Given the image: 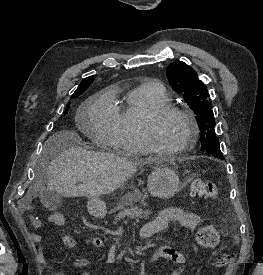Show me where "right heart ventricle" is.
Masks as SVG:
<instances>
[{"label": "right heart ventricle", "mask_w": 263, "mask_h": 275, "mask_svg": "<svg viewBox=\"0 0 263 275\" xmlns=\"http://www.w3.org/2000/svg\"><path fill=\"white\" fill-rule=\"evenodd\" d=\"M165 104L168 97L159 84L147 82L129 90L124 103L114 109V145L131 156L148 154L142 135L143 119L149 111Z\"/></svg>", "instance_id": "right-heart-ventricle-1"}]
</instances>
